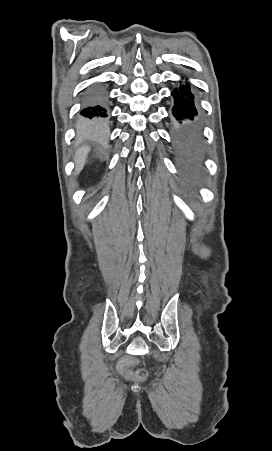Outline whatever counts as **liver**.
<instances>
[{"label":"liver","instance_id":"liver-1","mask_svg":"<svg viewBox=\"0 0 272 451\" xmlns=\"http://www.w3.org/2000/svg\"><path fill=\"white\" fill-rule=\"evenodd\" d=\"M89 152V148H86V146H84V148H79V150H77L76 154H75V162H76V166H75V174H79V172H81V170H83V166L86 162V156Z\"/></svg>","mask_w":272,"mask_h":451}]
</instances>
